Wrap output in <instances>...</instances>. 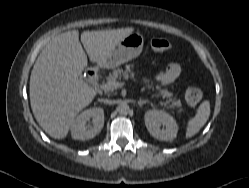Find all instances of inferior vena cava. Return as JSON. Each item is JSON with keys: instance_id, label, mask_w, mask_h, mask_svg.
Instances as JSON below:
<instances>
[{"instance_id": "1", "label": "inferior vena cava", "mask_w": 249, "mask_h": 188, "mask_svg": "<svg viewBox=\"0 0 249 188\" xmlns=\"http://www.w3.org/2000/svg\"><path fill=\"white\" fill-rule=\"evenodd\" d=\"M101 101H103L104 103H107V104H112L113 103L112 100H108V99H101Z\"/></svg>"}]
</instances>
